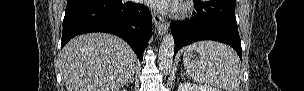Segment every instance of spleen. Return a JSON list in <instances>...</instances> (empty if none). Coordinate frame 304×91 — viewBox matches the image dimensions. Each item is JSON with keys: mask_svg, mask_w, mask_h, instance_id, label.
Masks as SVG:
<instances>
[{"mask_svg": "<svg viewBox=\"0 0 304 91\" xmlns=\"http://www.w3.org/2000/svg\"><path fill=\"white\" fill-rule=\"evenodd\" d=\"M190 50L200 54L194 61L183 55L186 72L195 82L239 91L241 64L232 48L219 42L201 41L190 46Z\"/></svg>", "mask_w": 304, "mask_h": 91, "instance_id": "spleen-1", "label": "spleen"}]
</instances>
